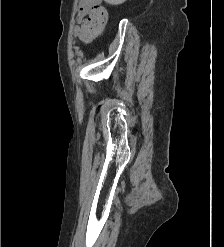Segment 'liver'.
<instances>
[{"mask_svg": "<svg viewBox=\"0 0 224 247\" xmlns=\"http://www.w3.org/2000/svg\"><path fill=\"white\" fill-rule=\"evenodd\" d=\"M107 4H111V6H119V4H123L126 0H104Z\"/></svg>", "mask_w": 224, "mask_h": 247, "instance_id": "6515ba94", "label": "liver"}]
</instances>
